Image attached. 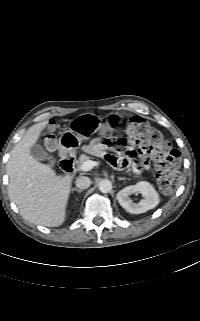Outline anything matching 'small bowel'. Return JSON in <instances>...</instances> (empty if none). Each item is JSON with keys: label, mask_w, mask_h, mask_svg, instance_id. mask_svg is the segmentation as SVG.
I'll use <instances>...</instances> for the list:
<instances>
[{"label": "small bowel", "mask_w": 200, "mask_h": 321, "mask_svg": "<svg viewBox=\"0 0 200 321\" xmlns=\"http://www.w3.org/2000/svg\"><path fill=\"white\" fill-rule=\"evenodd\" d=\"M94 147L98 150H115L119 156L106 154L105 158L116 169L122 170L132 166L136 172H142L149 168L150 164L145 154L133 142L129 141L127 136H123L120 133L115 134L113 138H101Z\"/></svg>", "instance_id": "1"}]
</instances>
